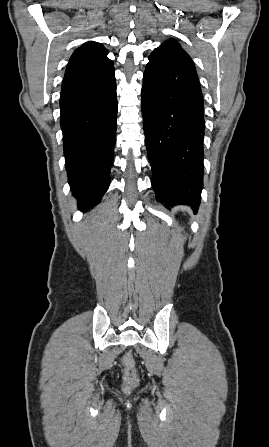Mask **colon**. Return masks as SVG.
<instances>
[{
    "instance_id": "1",
    "label": "colon",
    "mask_w": 269,
    "mask_h": 447,
    "mask_svg": "<svg viewBox=\"0 0 269 447\" xmlns=\"http://www.w3.org/2000/svg\"><path fill=\"white\" fill-rule=\"evenodd\" d=\"M122 364L124 367V384L128 390L134 387H139L141 384L140 379L137 376L136 363L130 354H125L122 358Z\"/></svg>"
}]
</instances>
